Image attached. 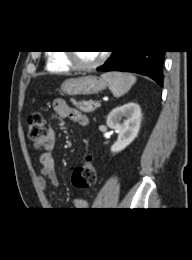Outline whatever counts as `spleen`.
<instances>
[{"mask_svg":"<svg viewBox=\"0 0 192 260\" xmlns=\"http://www.w3.org/2000/svg\"><path fill=\"white\" fill-rule=\"evenodd\" d=\"M101 77L107 82L109 89L117 98L125 95L136 82L134 75L123 72H108L102 74Z\"/></svg>","mask_w":192,"mask_h":260,"instance_id":"obj_1","label":"spleen"}]
</instances>
